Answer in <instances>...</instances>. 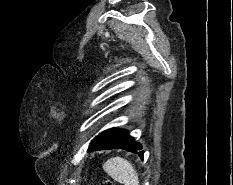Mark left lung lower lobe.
Here are the masks:
<instances>
[{
  "label": "left lung lower lobe",
  "mask_w": 233,
  "mask_h": 185,
  "mask_svg": "<svg viewBox=\"0 0 233 185\" xmlns=\"http://www.w3.org/2000/svg\"><path fill=\"white\" fill-rule=\"evenodd\" d=\"M105 149H124L138 154L143 159L141 144L135 142L127 130L112 128L102 132L91 142L88 151Z\"/></svg>",
  "instance_id": "left-lung-lower-lobe-1"
}]
</instances>
